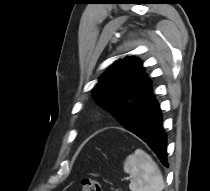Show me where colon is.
I'll list each match as a JSON object with an SVG mask.
<instances>
[{"mask_svg":"<svg viewBox=\"0 0 210 191\" xmlns=\"http://www.w3.org/2000/svg\"><path fill=\"white\" fill-rule=\"evenodd\" d=\"M81 184V191H103L101 183L93 178H84Z\"/></svg>","mask_w":210,"mask_h":191,"instance_id":"1","label":"colon"}]
</instances>
